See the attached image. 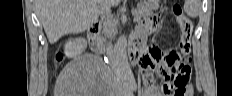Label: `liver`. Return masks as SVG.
<instances>
[{"mask_svg":"<svg viewBox=\"0 0 232 96\" xmlns=\"http://www.w3.org/2000/svg\"><path fill=\"white\" fill-rule=\"evenodd\" d=\"M119 0H36V11L51 44L67 34L82 33L98 19L100 6Z\"/></svg>","mask_w":232,"mask_h":96,"instance_id":"6515ba94","label":"liver"}]
</instances>
